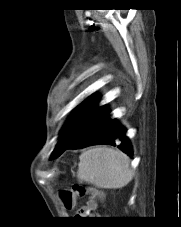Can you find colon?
<instances>
[{
    "label": "colon",
    "mask_w": 181,
    "mask_h": 227,
    "mask_svg": "<svg viewBox=\"0 0 181 227\" xmlns=\"http://www.w3.org/2000/svg\"><path fill=\"white\" fill-rule=\"evenodd\" d=\"M86 195L90 196L92 199L93 198L102 199L104 196L103 192L80 183L74 184L70 190L60 192V198L64 206L68 210L74 208L77 198H81Z\"/></svg>",
    "instance_id": "5ec220e1"
}]
</instances>
